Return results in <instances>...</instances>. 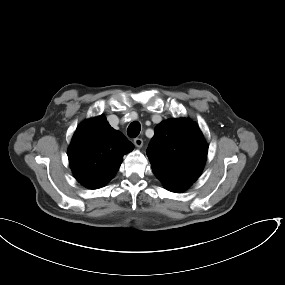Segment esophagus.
Segmentation results:
<instances>
[{"instance_id":"1","label":"esophagus","mask_w":285,"mask_h":285,"mask_svg":"<svg viewBox=\"0 0 285 285\" xmlns=\"http://www.w3.org/2000/svg\"><path fill=\"white\" fill-rule=\"evenodd\" d=\"M134 144L136 145V147L140 148L143 146V140L141 138H135Z\"/></svg>"}]
</instances>
